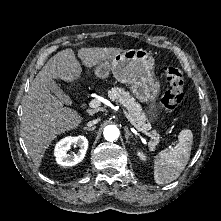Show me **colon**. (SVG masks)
<instances>
[{"label": "colon", "mask_w": 221, "mask_h": 221, "mask_svg": "<svg viewBox=\"0 0 221 221\" xmlns=\"http://www.w3.org/2000/svg\"><path fill=\"white\" fill-rule=\"evenodd\" d=\"M165 77L170 88L162 98V107L166 113H172L180 105L184 97V76L178 68L167 67L165 69Z\"/></svg>", "instance_id": "obj_1"}]
</instances>
